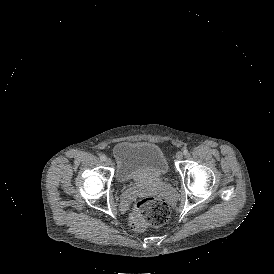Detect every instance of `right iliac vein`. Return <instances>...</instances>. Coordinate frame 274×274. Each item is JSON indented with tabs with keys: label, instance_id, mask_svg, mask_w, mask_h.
<instances>
[{
	"label": "right iliac vein",
	"instance_id": "right-iliac-vein-1",
	"mask_svg": "<svg viewBox=\"0 0 274 274\" xmlns=\"http://www.w3.org/2000/svg\"><path fill=\"white\" fill-rule=\"evenodd\" d=\"M105 164L108 165V166H110L112 164L111 159L110 158H106Z\"/></svg>",
	"mask_w": 274,
	"mask_h": 274
}]
</instances>
